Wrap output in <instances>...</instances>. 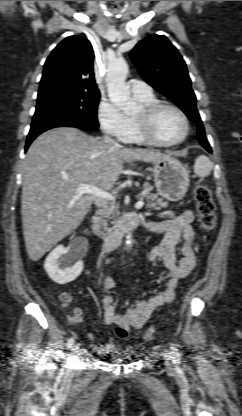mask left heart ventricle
<instances>
[{
	"instance_id": "left-heart-ventricle-1",
	"label": "left heart ventricle",
	"mask_w": 242,
	"mask_h": 416,
	"mask_svg": "<svg viewBox=\"0 0 242 416\" xmlns=\"http://www.w3.org/2000/svg\"><path fill=\"white\" fill-rule=\"evenodd\" d=\"M142 115V110L136 115ZM152 128L158 138L164 141L179 139L184 131V124L180 116L169 108L161 109L153 118Z\"/></svg>"
}]
</instances>
